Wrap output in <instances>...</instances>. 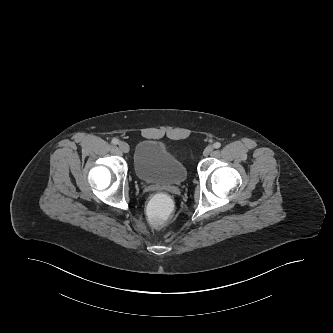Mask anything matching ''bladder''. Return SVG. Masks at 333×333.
<instances>
[{"label":"bladder","mask_w":333,"mask_h":333,"mask_svg":"<svg viewBox=\"0 0 333 333\" xmlns=\"http://www.w3.org/2000/svg\"><path fill=\"white\" fill-rule=\"evenodd\" d=\"M133 167L137 177L146 183L175 186L182 184L188 175L184 162L154 140L138 143Z\"/></svg>","instance_id":"bladder-1"}]
</instances>
